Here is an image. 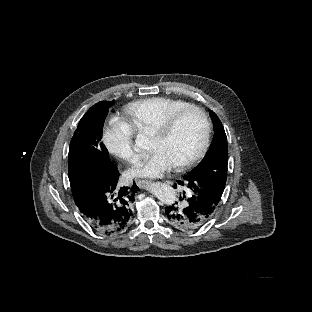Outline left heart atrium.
<instances>
[{"label": "left heart atrium", "mask_w": 312, "mask_h": 312, "mask_svg": "<svg viewBox=\"0 0 312 312\" xmlns=\"http://www.w3.org/2000/svg\"><path fill=\"white\" fill-rule=\"evenodd\" d=\"M174 166L169 153H161L152 148L147 151L142 160L135 161L129 166L128 174L131 179L149 180L164 178L173 172Z\"/></svg>", "instance_id": "left-heart-atrium-1"}]
</instances>
